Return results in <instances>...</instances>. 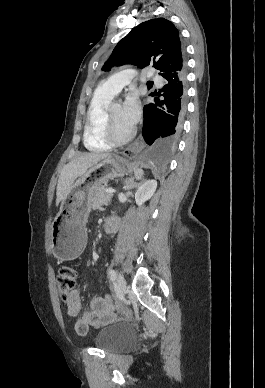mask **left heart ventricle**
<instances>
[{"label":"left heart ventricle","mask_w":265,"mask_h":388,"mask_svg":"<svg viewBox=\"0 0 265 388\" xmlns=\"http://www.w3.org/2000/svg\"><path fill=\"white\" fill-rule=\"evenodd\" d=\"M110 119L114 130L118 133L122 134L131 129V126H129L122 118L121 105L113 104L111 106Z\"/></svg>","instance_id":"1"}]
</instances>
